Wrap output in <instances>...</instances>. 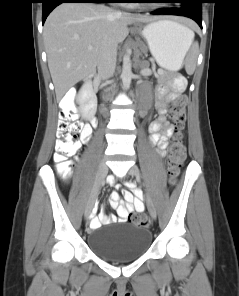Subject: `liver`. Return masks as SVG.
Wrapping results in <instances>:
<instances>
[{"label":"liver","mask_w":239,"mask_h":296,"mask_svg":"<svg viewBox=\"0 0 239 296\" xmlns=\"http://www.w3.org/2000/svg\"><path fill=\"white\" fill-rule=\"evenodd\" d=\"M157 19L118 14L95 3H63L56 7L46 19L43 37L57 99L95 72L100 51L123 42L129 33L128 25Z\"/></svg>","instance_id":"obj_1"}]
</instances>
